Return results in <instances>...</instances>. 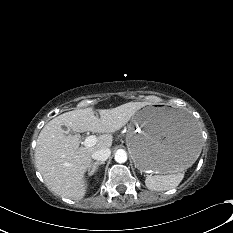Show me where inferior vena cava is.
I'll list each match as a JSON object with an SVG mask.
<instances>
[{
	"label": "inferior vena cava",
	"mask_w": 233,
	"mask_h": 233,
	"mask_svg": "<svg viewBox=\"0 0 233 233\" xmlns=\"http://www.w3.org/2000/svg\"><path fill=\"white\" fill-rule=\"evenodd\" d=\"M111 155L109 148H101L93 152L92 158L97 161H106Z\"/></svg>",
	"instance_id": "inferior-vena-cava-1"
}]
</instances>
